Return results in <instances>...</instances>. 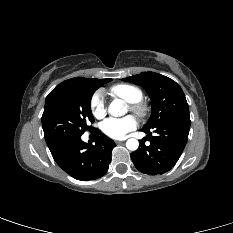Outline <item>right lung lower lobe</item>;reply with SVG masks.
I'll return each mask as SVG.
<instances>
[{
	"label": "right lung lower lobe",
	"mask_w": 233,
	"mask_h": 233,
	"mask_svg": "<svg viewBox=\"0 0 233 233\" xmlns=\"http://www.w3.org/2000/svg\"><path fill=\"white\" fill-rule=\"evenodd\" d=\"M95 144L85 143L80 136L64 139L52 146L50 152L55 162L69 175L79 180H94L103 176L111 162L113 140L93 128Z\"/></svg>",
	"instance_id": "obj_1"
}]
</instances>
